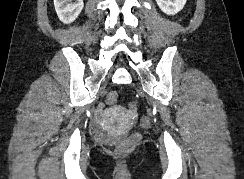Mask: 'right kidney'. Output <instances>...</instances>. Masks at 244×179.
I'll list each match as a JSON object with an SVG mask.
<instances>
[{
	"mask_svg": "<svg viewBox=\"0 0 244 179\" xmlns=\"http://www.w3.org/2000/svg\"><path fill=\"white\" fill-rule=\"evenodd\" d=\"M56 14L63 24H71L83 10V0H54Z\"/></svg>",
	"mask_w": 244,
	"mask_h": 179,
	"instance_id": "right-kidney-1",
	"label": "right kidney"
}]
</instances>
